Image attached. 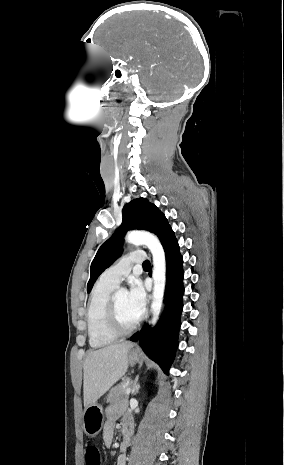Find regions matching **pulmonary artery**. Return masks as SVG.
Wrapping results in <instances>:
<instances>
[{
    "label": "pulmonary artery",
    "instance_id": "pulmonary-artery-1",
    "mask_svg": "<svg viewBox=\"0 0 284 465\" xmlns=\"http://www.w3.org/2000/svg\"><path fill=\"white\" fill-rule=\"evenodd\" d=\"M147 252L142 250H133L131 254H122L120 263L105 270L100 280L117 286L124 277L130 272L132 263H144Z\"/></svg>",
    "mask_w": 284,
    "mask_h": 465
}]
</instances>
